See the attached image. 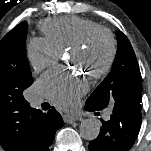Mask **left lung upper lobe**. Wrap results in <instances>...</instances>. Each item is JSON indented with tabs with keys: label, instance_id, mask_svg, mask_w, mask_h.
<instances>
[{
	"label": "left lung upper lobe",
	"instance_id": "left-lung-upper-lobe-1",
	"mask_svg": "<svg viewBox=\"0 0 151 151\" xmlns=\"http://www.w3.org/2000/svg\"><path fill=\"white\" fill-rule=\"evenodd\" d=\"M117 36V54L111 71L103 82L93 91L86 103L99 111L108 105L115 111L129 114L136 107L133 95L142 89V77L137 59L128 38L119 30Z\"/></svg>",
	"mask_w": 151,
	"mask_h": 151
}]
</instances>
